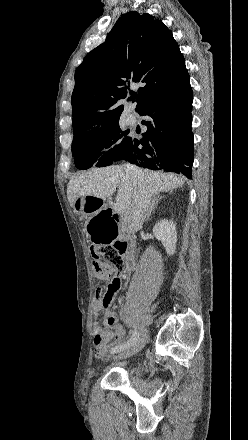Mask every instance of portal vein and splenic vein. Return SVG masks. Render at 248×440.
Listing matches in <instances>:
<instances>
[{"label":"portal vein and splenic vein","instance_id":"1","mask_svg":"<svg viewBox=\"0 0 248 440\" xmlns=\"http://www.w3.org/2000/svg\"><path fill=\"white\" fill-rule=\"evenodd\" d=\"M114 210H115V211H118V212H121V211H124V207H123V205H122L121 203L116 202V203L114 204Z\"/></svg>","mask_w":248,"mask_h":440}]
</instances>
